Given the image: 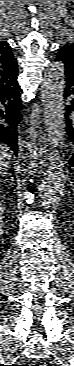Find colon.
I'll return each mask as SVG.
<instances>
[{
  "label": "colon",
  "instance_id": "colon-1",
  "mask_svg": "<svg viewBox=\"0 0 74 366\" xmlns=\"http://www.w3.org/2000/svg\"><path fill=\"white\" fill-rule=\"evenodd\" d=\"M28 366H34V365H28ZM41 366H44V365H41Z\"/></svg>",
  "mask_w": 74,
  "mask_h": 366
}]
</instances>
